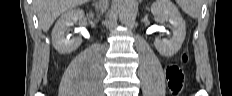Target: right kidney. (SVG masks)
<instances>
[{
  "label": "right kidney",
  "instance_id": "obj_1",
  "mask_svg": "<svg viewBox=\"0 0 232 96\" xmlns=\"http://www.w3.org/2000/svg\"><path fill=\"white\" fill-rule=\"evenodd\" d=\"M90 17L93 14L90 13ZM84 18V11L80 9L70 10L62 14L61 17L56 22L54 29L52 31V43L54 48L62 54L70 53L76 50L82 39L80 37L69 39L66 36L69 27L73 26L74 23L82 21Z\"/></svg>",
  "mask_w": 232,
  "mask_h": 96
}]
</instances>
